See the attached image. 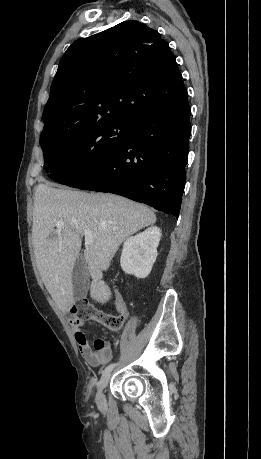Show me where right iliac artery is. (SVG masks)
<instances>
[{
  "instance_id": "obj_1",
  "label": "right iliac artery",
  "mask_w": 261,
  "mask_h": 459,
  "mask_svg": "<svg viewBox=\"0 0 261 459\" xmlns=\"http://www.w3.org/2000/svg\"><path fill=\"white\" fill-rule=\"evenodd\" d=\"M115 366H116L115 363H112V364L108 365V366L105 368L104 373H105V372H110V371H112V369H113Z\"/></svg>"
}]
</instances>
